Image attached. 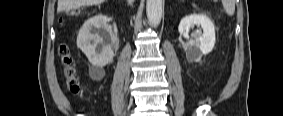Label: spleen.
Wrapping results in <instances>:
<instances>
[{"instance_id":"1","label":"spleen","mask_w":283,"mask_h":116,"mask_svg":"<svg viewBox=\"0 0 283 116\" xmlns=\"http://www.w3.org/2000/svg\"><path fill=\"white\" fill-rule=\"evenodd\" d=\"M223 8L228 15H233L235 12V1L234 0H223Z\"/></svg>"}]
</instances>
